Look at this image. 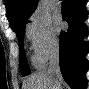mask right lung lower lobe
<instances>
[{
    "label": "right lung lower lobe",
    "instance_id": "1",
    "mask_svg": "<svg viewBox=\"0 0 89 89\" xmlns=\"http://www.w3.org/2000/svg\"><path fill=\"white\" fill-rule=\"evenodd\" d=\"M86 0H63L62 16L67 21V32H61L60 69L64 80L71 89H85V73L88 62L85 59L88 46L81 39L86 35V26L82 23L87 16Z\"/></svg>",
    "mask_w": 89,
    "mask_h": 89
}]
</instances>
